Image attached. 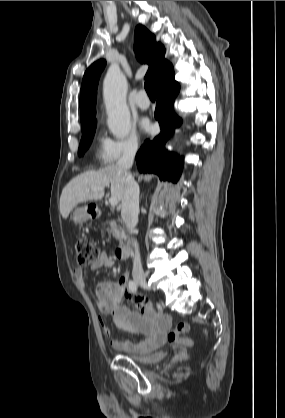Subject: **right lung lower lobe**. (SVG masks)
I'll return each instance as SVG.
<instances>
[{
    "label": "right lung lower lobe",
    "mask_w": 285,
    "mask_h": 418,
    "mask_svg": "<svg viewBox=\"0 0 285 418\" xmlns=\"http://www.w3.org/2000/svg\"><path fill=\"white\" fill-rule=\"evenodd\" d=\"M180 85L171 78L158 90L155 118L159 121L161 132L152 141L146 140L136 155V163L141 173H155L160 179L177 182L183 167V158L167 152L164 144L182 120L173 110L174 99Z\"/></svg>",
    "instance_id": "right-lung-lower-lobe-1"
}]
</instances>
